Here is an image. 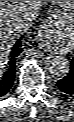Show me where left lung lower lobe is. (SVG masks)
<instances>
[{
	"instance_id": "1",
	"label": "left lung lower lobe",
	"mask_w": 74,
	"mask_h": 122,
	"mask_svg": "<svg viewBox=\"0 0 74 122\" xmlns=\"http://www.w3.org/2000/svg\"><path fill=\"white\" fill-rule=\"evenodd\" d=\"M57 90L65 95L74 96V58L71 61L70 72L56 82Z\"/></svg>"
}]
</instances>
